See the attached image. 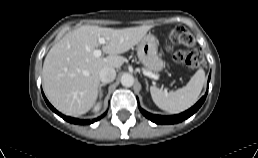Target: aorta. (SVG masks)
<instances>
[{"label": "aorta", "mask_w": 258, "mask_h": 158, "mask_svg": "<svg viewBox=\"0 0 258 158\" xmlns=\"http://www.w3.org/2000/svg\"><path fill=\"white\" fill-rule=\"evenodd\" d=\"M121 84L124 87H131L134 84V77L129 73L123 74L121 77Z\"/></svg>", "instance_id": "aorta-1"}]
</instances>
